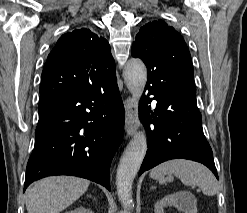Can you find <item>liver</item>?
<instances>
[{
	"mask_svg": "<svg viewBox=\"0 0 247 213\" xmlns=\"http://www.w3.org/2000/svg\"><path fill=\"white\" fill-rule=\"evenodd\" d=\"M90 182L73 176L44 178L26 190L28 213H59L88 189Z\"/></svg>",
	"mask_w": 247,
	"mask_h": 213,
	"instance_id": "liver-1",
	"label": "liver"
}]
</instances>
